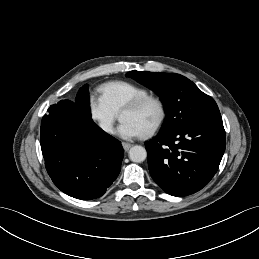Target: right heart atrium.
Returning a JSON list of instances; mask_svg holds the SVG:
<instances>
[{
  "label": "right heart atrium",
  "mask_w": 259,
  "mask_h": 259,
  "mask_svg": "<svg viewBox=\"0 0 259 259\" xmlns=\"http://www.w3.org/2000/svg\"><path fill=\"white\" fill-rule=\"evenodd\" d=\"M89 113L100 131L104 134H111L117 113L110 107L102 96L91 94L89 97Z\"/></svg>",
  "instance_id": "obj_1"
}]
</instances>
